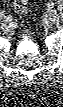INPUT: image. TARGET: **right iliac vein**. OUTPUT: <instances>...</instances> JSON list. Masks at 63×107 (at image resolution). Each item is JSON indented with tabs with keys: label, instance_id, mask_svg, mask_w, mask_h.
I'll list each match as a JSON object with an SVG mask.
<instances>
[{
	"label": "right iliac vein",
	"instance_id": "obj_1",
	"mask_svg": "<svg viewBox=\"0 0 63 107\" xmlns=\"http://www.w3.org/2000/svg\"><path fill=\"white\" fill-rule=\"evenodd\" d=\"M9 24H10V25H13V24H14V21L11 20V21L9 22Z\"/></svg>",
	"mask_w": 63,
	"mask_h": 107
}]
</instances>
